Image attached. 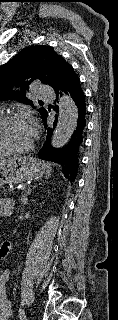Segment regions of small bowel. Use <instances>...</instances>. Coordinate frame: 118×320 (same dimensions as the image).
Segmentation results:
<instances>
[{
	"instance_id": "c3829d8e",
	"label": "small bowel",
	"mask_w": 118,
	"mask_h": 320,
	"mask_svg": "<svg viewBox=\"0 0 118 320\" xmlns=\"http://www.w3.org/2000/svg\"><path fill=\"white\" fill-rule=\"evenodd\" d=\"M13 207V200L9 197L0 198V216L8 215ZM6 244V250L4 249ZM9 243H3L0 246L1 252H8ZM10 271L6 270L0 274V320H8L11 315V303L7 296V284L10 279Z\"/></svg>"
}]
</instances>
